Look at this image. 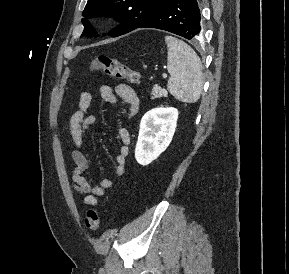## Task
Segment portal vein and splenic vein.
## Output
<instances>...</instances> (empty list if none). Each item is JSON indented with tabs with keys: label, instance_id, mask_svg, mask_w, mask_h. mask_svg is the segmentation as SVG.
Listing matches in <instances>:
<instances>
[{
	"label": "portal vein and splenic vein",
	"instance_id": "1",
	"mask_svg": "<svg viewBox=\"0 0 289 274\" xmlns=\"http://www.w3.org/2000/svg\"><path fill=\"white\" fill-rule=\"evenodd\" d=\"M162 77H163V78H167V74H166V73H163V74H162Z\"/></svg>",
	"mask_w": 289,
	"mask_h": 274
}]
</instances>
